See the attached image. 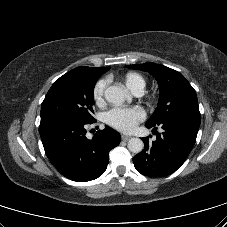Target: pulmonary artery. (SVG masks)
I'll return each mask as SVG.
<instances>
[{"label":"pulmonary artery","mask_w":227,"mask_h":227,"mask_svg":"<svg viewBox=\"0 0 227 227\" xmlns=\"http://www.w3.org/2000/svg\"><path fill=\"white\" fill-rule=\"evenodd\" d=\"M136 95H141L142 94V90H138L135 92Z\"/></svg>","instance_id":"pulmonary-artery-1"}]
</instances>
